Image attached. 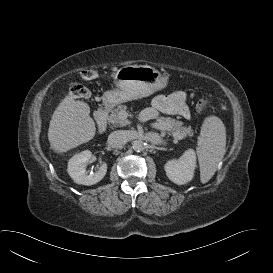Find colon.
I'll list each match as a JSON object with an SVG mask.
<instances>
[{
	"label": "colon",
	"mask_w": 273,
	"mask_h": 273,
	"mask_svg": "<svg viewBox=\"0 0 273 273\" xmlns=\"http://www.w3.org/2000/svg\"><path fill=\"white\" fill-rule=\"evenodd\" d=\"M81 75L84 79H94L98 76V72L94 68H89L84 70ZM70 92L74 97L77 98H88L90 96L89 89L82 84H73L70 88ZM210 102V98H204L200 100L197 104L198 112L204 113L208 108Z\"/></svg>",
	"instance_id": "5ec220e1"
}]
</instances>
